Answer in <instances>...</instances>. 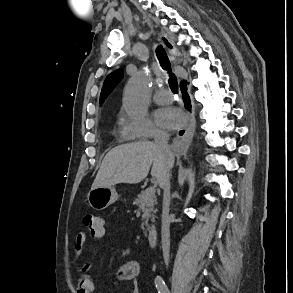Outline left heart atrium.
I'll return each instance as SVG.
<instances>
[{"mask_svg": "<svg viewBox=\"0 0 293 293\" xmlns=\"http://www.w3.org/2000/svg\"><path fill=\"white\" fill-rule=\"evenodd\" d=\"M156 122L165 129H175L184 121L183 113L175 107L160 108L155 113Z\"/></svg>", "mask_w": 293, "mask_h": 293, "instance_id": "1", "label": "left heart atrium"}]
</instances>
